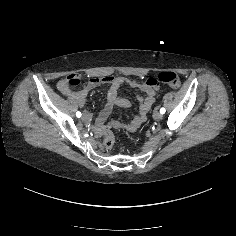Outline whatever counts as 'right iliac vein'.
Listing matches in <instances>:
<instances>
[{"label": "right iliac vein", "mask_w": 236, "mask_h": 236, "mask_svg": "<svg viewBox=\"0 0 236 236\" xmlns=\"http://www.w3.org/2000/svg\"><path fill=\"white\" fill-rule=\"evenodd\" d=\"M88 116H89V115H88L87 113H85V114L82 116V119H83V120H86V119L88 118Z\"/></svg>", "instance_id": "obj_1"}]
</instances>
